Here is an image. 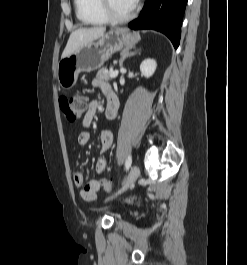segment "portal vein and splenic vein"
I'll use <instances>...</instances> for the list:
<instances>
[{
	"label": "portal vein and splenic vein",
	"mask_w": 247,
	"mask_h": 265,
	"mask_svg": "<svg viewBox=\"0 0 247 265\" xmlns=\"http://www.w3.org/2000/svg\"><path fill=\"white\" fill-rule=\"evenodd\" d=\"M118 75V70H114L111 72L110 77L115 78Z\"/></svg>",
	"instance_id": "18ae733b"
}]
</instances>
